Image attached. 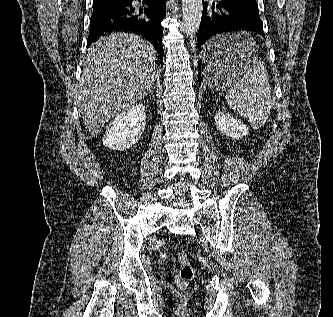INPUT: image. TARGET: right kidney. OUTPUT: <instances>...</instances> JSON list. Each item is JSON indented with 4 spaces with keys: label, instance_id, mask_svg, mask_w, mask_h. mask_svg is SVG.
<instances>
[{
    "label": "right kidney",
    "instance_id": "right-kidney-1",
    "mask_svg": "<svg viewBox=\"0 0 333 317\" xmlns=\"http://www.w3.org/2000/svg\"><path fill=\"white\" fill-rule=\"evenodd\" d=\"M145 125V108L141 104L132 105L109 123L103 145L113 150H127L138 142Z\"/></svg>",
    "mask_w": 333,
    "mask_h": 317
}]
</instances>
